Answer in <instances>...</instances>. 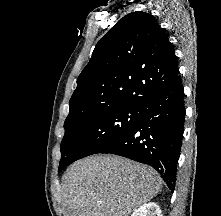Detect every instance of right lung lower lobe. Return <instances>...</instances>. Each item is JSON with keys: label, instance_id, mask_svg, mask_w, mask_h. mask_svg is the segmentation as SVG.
I'll return each mask as SVG.
<instances>
[{"label": "right lung lower lobe", "instance_id": "98d812e1", "mask_svg": "<svg viewBox=\"0 0 221 216\" xmlns=\"http://www.w3.org/2000/svg\"><path fill=\"white\" fill-rule=\"evenodd\" d=\"M185 119L178 74L139 106L135 125L100 153L120 155L156 169L173 192Z\"/></svg>", "mask_w": 221, "mask_h": 216}]
</instances>
